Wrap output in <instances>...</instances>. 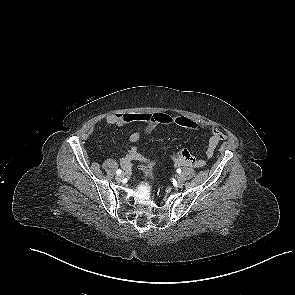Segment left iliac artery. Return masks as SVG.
Masks as SVG:
<instances>
[{"label":"left iliac artery","mask_w":295,"mask_h":295,"mask_svg":"<svg viewBox=\"0 0 295 295\" xmlns=\"http://www.w3.org/2000/svg\"><path fill=\"white\" fill-rule=\"evenodd\" d=\"M177 173H179V174H180V173H181V169H179V168H178V169H177Z\"/></svg>","instance_id":"44dca946"}]
</instances>
